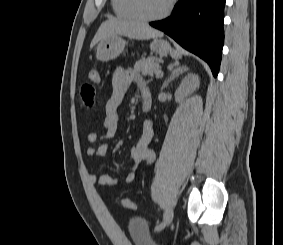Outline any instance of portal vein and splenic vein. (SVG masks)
<instances>
[{"instance_id":"18ae733b","label":"portal vein and splenic vein","mask_w":283,"mask_h":245,"mask_svg":"<svg viewBox=\"0 0 283 245\" xmlns=\"http://www.w3.org/2000/svg\"><path fill=\"white\" fill-rule=\"evenodd\" d=\"M158 72H159V73H162L160 69H159V71H158Z\"/></svg>"}]
</instances>
